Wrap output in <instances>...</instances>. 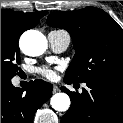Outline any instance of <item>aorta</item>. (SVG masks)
<instances>
[{
  "label": "aorta",
  "mask_w": 123,
  "mask_h": 123,
  "mask_svg": "<svg viewBox=\"0 0 123 123\" xmlns=\"http://www.w3.org/2000/svg\"><path fill=\"white\" fill-rule=\"evenodd\" d=\"M22 51L29 56H39L47 48V40L39 31L31 30L25 32L20 40ZM51 106L56 111H67L70 107V98L66 93H56L51 97Z\"/></svg>",
  "instance_id": "obj_1"
}]
</instances>
